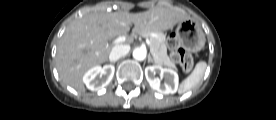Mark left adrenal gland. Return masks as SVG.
Masks as SVG:
<instances>
[{
  "mask_svg": "<svg viewBox=\"0 0 276 120\" xmlns=\"http://www.w3.org/2000/svg\"><path fill=\"white\" fill-rule=\"evenodd\" d=\"M148 62L155 63V61L153 60V58L151 57L150 54H149V56H148Z\"/></svg>",
  "mask_w": 276,
  "mask_h": 120,
  "instance_id": "1",
  "label": "left adrenal gland"
}]
</instances>
